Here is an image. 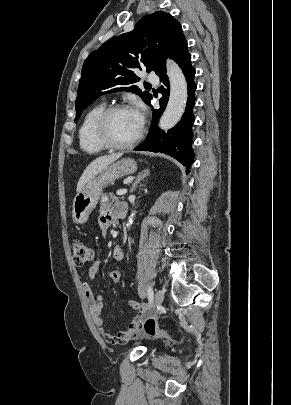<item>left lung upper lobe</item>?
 <instances>
[{"label": "left lung upper lobe", "mask_w": 291, "mask_h": 405, "mask_svg": "<svg viewBox=\"0 0 291 405\" xmlns=\"http://www.w3.org/2000/svg\"><path fill=\"white\" fill-rule=\"evenodd\" d=\"M185 37L180 23L169 13L156 11L144 16L128 33L113 37L92 52L82 67L76 98V118L99 96L132 91L147 104L152 95L134 83L136 68L157 71Z\"/></svg>", "instance_id": "5c2ea615"}]
</instances>
